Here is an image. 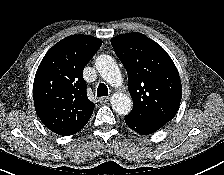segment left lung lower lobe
<instances>
[{
  "label": "left lung lower lobe",
  "mask_w": 224,
  "mask_h": 175,
  "mask_svg": "<svg viewBox=\"0 0 224 175\" xmlns=\"http://www.w3.org/2000/svg\"><path fill=\"white\" fill-rule=\"evenodd\" d=\"M125 122L129 128L143 135L152 134L166 124L163 122H141L127 117H125Z\"/></svg>",
  "instance_id": "1"
}]
</instances>
